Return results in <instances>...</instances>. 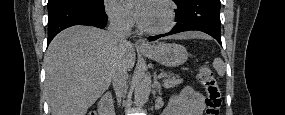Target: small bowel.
Instances as JSON below:
<instances>
[{
	"instance_id": "obj_1",
	"label": "small bowel",
	"mask_w": 285,
	"mask_h": 115,
	"mask_svg": "<svg viewBox=\"0 0 285 115\" xmlns=\"http://www.w3.org/2000/svg\"><path fill=\"white\" fill-rule=\"evenodd\" d=\"M164 115H203L204 97L191 87H185L179 94L173 95Z\"/></svg>"
}]
</instances>
